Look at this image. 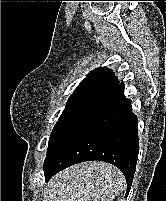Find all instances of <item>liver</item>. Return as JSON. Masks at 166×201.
<instances>
[{
	"label": "liver",
	"mask_w": 166,
	"mask_h": 201,
	"mask_svg": "<svg viewBox=\"0 0 166 201\" xmlns=\"http://www.w3.org/2000/svg\"><path fill=\"white\" fill-rule=\"evenodd\" d=\"M125 182L122 172L109 163L83 162L49 181L46 201H113L125 189Z\"/></svg>",
	"instance_id": "1"
}]
</instances>
